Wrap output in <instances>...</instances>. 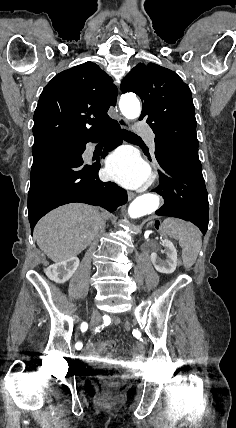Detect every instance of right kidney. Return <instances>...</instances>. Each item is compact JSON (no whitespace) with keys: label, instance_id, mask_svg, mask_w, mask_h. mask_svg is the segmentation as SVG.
Here are the masks:
<instances>
[{"label":"right kidney","instance_id":"1","mask_svg":"<svg viewBox=\"0 0 236 428\" xmlns=\"http://www.w3.org/2000/svg\"><path fill=\"white\" fill-rule=\"evenodd\" d=\"M79 264L80 260L77 256H70L68 260L56 262V264H52V266L46 268L45 274L50 278V280L56 282V284H64V282H68V280H70L71 276L76 272Z\"/></svg>","mask_w":236,"mask_h":428}]
</instances>
